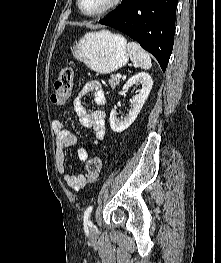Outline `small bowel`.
Returning a JSON list of instances; mask_svg holds the SVG:
<instances>
[{"instance_id": "1", "label": "small bowel", "mask_w": 221, "mask_h": 263, "mask_svg": "<svg viewBox=\"0 0 221 263\" xmlns=\"http://www.w3.org/2000/svg\"><path fill=\"white\" fill-rule=\"evenodd\" d=\"M92 94L94 102L97 105L105 104V95L102 85L99 81H89L81 90V95ZM76 111L80 118L81 124L90 129L95 134V141L92 145H96L104 138L105 135V114L101 110L87 111L78 100L75 104ZM53 128L56 133V164L60 175L63 176L65 182L73 190H79L85 185V177L80 172H70L65 168V152L64 149L75 145L76 136L68 129L60 120L53 122ZM90 147H83L78 150L80 160H86L89 156Z\"/></svg>"}]
</instances>
